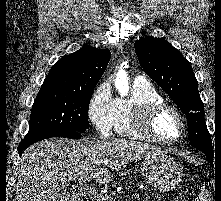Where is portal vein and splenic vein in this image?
Listing matches in <instances>:
<instances>
[{
    "mask_svg": "<svg viewBox=\"0 0 221 201\" xmlns=\"http://www.w3.org/2000/svg\"><path fill=\"white\" fill-rule=\"evenodd\" d=\"M86 180L89 181V179ZM86 180H78V186L81 191L93 194L98 201H108V199H111V196H109L108 194L98 193V190L94 186L88 184ZM132 196L134 198H139L138 193H133Z\"/></svg>",
    "mask_w": 221,
    "mask_h": 201,
    "instance_id": "obj_1",
    "label": "portal vein and splenic vein"
}]
</instances>
